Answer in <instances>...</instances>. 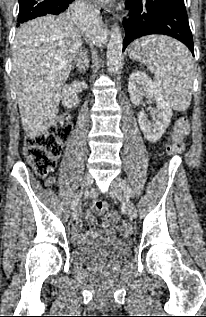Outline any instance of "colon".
Instances as JSON below:
<instances>
[{
	"mask_svg": "<svg viewBox=\"0 0 206 317\" xmlns=\"http://www.w3.org/2000/svg\"><path fill=\"white\" fill-rule=\"evenodd\" d=\"M71 127L69 115L62 114L43 134L26 138L25 157L39 175H46L55 168L62 145L70 136ZM188 132V119L179 117L175 122L172 139L167 147L169 154H180L185 150L184 138ZM94 208L98 213L105 214V220L109 223H116L119 220L117 213L106 212L107 205L103 201H96ZM119 232L122 236H129L131 227L123 222L119 226Z\"/></svg>",
	"mask_w": 206,
	"mask_h": 317,
	"instance_id": "5ec220e1",
	"label": "colon"
}]
</instances>
